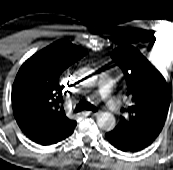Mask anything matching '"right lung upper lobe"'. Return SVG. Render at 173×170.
I'll use <instances>...</instances> for the list:
<instances>
[{
  "label": "right lung upper lobe",
  "instance_id": "1",
  "mask_svg": "<svg viewBox=\"0 0 173 170\" xmlns=\"http://www.w3.org/2000/svg\"><path fill=\"white\" fill-rule=\"evenodd\" d=\"M87 53L68 41H56L27 59L12 87L14 117L22 132L38 144L60 139L76 126L63 108L62 73Z\"/></svg>",
  "mask_w": 173,
  "mask_h": 170
}]
</instances>
